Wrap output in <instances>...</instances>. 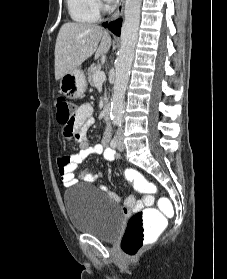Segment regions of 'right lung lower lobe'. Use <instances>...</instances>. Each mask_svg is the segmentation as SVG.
<instances>
[{
    "instance_id": "obj_1",
    "label": "right lung lower lobe",
    "mask_w": 227,
    "mask_h": 279,
    "mask_svg": "<svg viewBox=\"0 0 227 279\" xmlns=\"http://www.w3.org/2000/svg\"><path fill=\"white\" fill-rule=\"evenodd\" d=\"M121 24H122V20L118 19V20H116L114 22H111L109 24L107 22H105V23H103V26L108 27V29L110 31H112L114 34L119 36L120 35Z\"/></svg>"
}]
</instances>
